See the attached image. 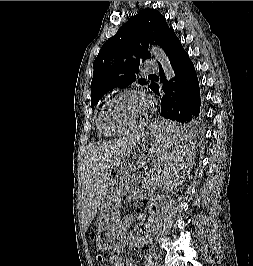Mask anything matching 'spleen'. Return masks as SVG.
<instances>
[{
	"mask_svg": "<svg viewBox=\"0 0 253 266\" xmlns=\"http://www.w3.org/2000/svg\"><path fill=\"white\" fill-rule=\"evenodd\" d=\"M158 132H169V138H161L159 150L155 151V160L147 161L146 178H139L137 187H159L170 190L180 187L184 178V169H190L196 145L192 132L193 123H158Z\"/></svg>",
	"mask_w": 253,
	"mask_h": 266,
	"instance_id": "1",
	"label": "spleen"
}]
</instances>
